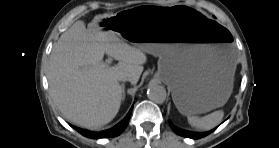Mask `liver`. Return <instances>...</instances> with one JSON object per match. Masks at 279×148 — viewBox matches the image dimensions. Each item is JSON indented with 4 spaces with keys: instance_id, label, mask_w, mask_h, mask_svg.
I'll use <instances>...</instances> for the list:
<instances>
[{
    "instance_id": "obj_1",
    "label": "liver",
    "mask_w": 279,
    "mask_h": 148,
    "mask_svg": "<svg viewBox=\"0 0 279 148\" xmlns=\"http://www.w3.org/2000/svg\"><path fill=\"white\" fill-rule=\"evenodd\" d=\"M111 16H95L88 29L83 21L75 22L60 36L50 55L47 79L54 104L68 121L88 129L113 120L122 100L119 77L126 76L135 85L147 61L140 49L100 26ZM104 53L118 64H104Z\"/></svg>"
}]
</instances>
